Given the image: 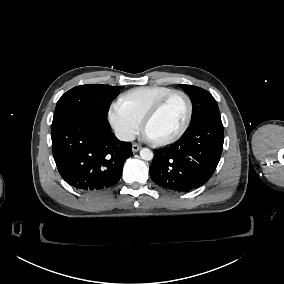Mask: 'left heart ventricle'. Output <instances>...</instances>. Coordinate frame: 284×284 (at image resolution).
Segmentation results:
<instances>
[{
	"instance_id": "obj_1",
	"label": "left heart ventricle",
	"mask_w": 284,
	"mask_h": 284,
	"mask_svg": "<svg viewBox=\"0 0 284 284\" xmlns=\"http://www.w3.org/2000/svg\"><path fill=\"white\" fill-rule=\"evenodd\" d=\"M188 112L186 99L177 94L147 125L146 134L153 140H164L174 135L183 125Z\"/></svg>"
}]
</instances>
